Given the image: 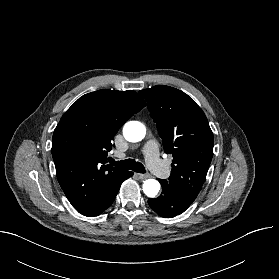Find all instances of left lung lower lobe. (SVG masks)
Instances as JSON below:
<instances>
[{"label": "left lung lower lobe", "mask_w": 279, "mask_h": 279, "mask_svg": "<svg viewBox=\"0 0 279 279\" xmlns=\"http://www.w3.org/2000/svg\"><path fill=\"white\" fill-rule=\"evenodd\" d=\"M162 194L148 199L150 207L161 217L170 218L183 213L195 200L196 194L184 192L172 187L166 180L159 179Z\"/></svg>", "instance_id": "0a47b994"}]
</instances>
